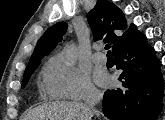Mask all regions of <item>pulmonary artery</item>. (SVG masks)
Segmentation results:
<instances>
[{
    "instance_id": "1",
    "label": "pulmonary artery",
    "mask_w": 165,
    "mask_h": 120,
    "mask_svg": "<svg viewBox=\"0 0 165 120\" xmlns=\"http://www.w3.org/2000/svg\"><path fill=\"white\" fill-rule=\"evenodd\" d=\"M93 60L99 64L106 63L107 57L104 53L100 51V47L97 48V52L93 55Z\"/></svg>"
}]
</instances>
